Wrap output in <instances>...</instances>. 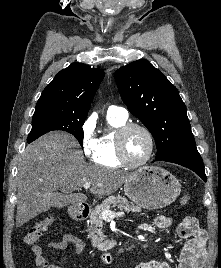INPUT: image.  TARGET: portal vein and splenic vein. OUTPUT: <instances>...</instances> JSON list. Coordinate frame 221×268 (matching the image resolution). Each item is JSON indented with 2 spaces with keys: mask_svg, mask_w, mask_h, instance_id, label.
<instances>
[{
  "mask_svg": "<svg viewBox=\"0 0 221 268\" xmlns=\"http://www.w3.org/2000/svg\"><path fill=\"white\" fill-rule=\"evenodd\" d=\"M90 186H91L90 183H85V184L83 185V187H84L85 189H89ZM124 215H125L124 211L114 212V211H111V210H109V209H105V210L101 213L102 218L105 219V220H112V219H114V218H116V217H122V216H124Z\"/></svg>",
  "mask_w": 221,
  "mask_h": 268,
  "instance_id": "1",
  "label": "portal vein and splenic vein"
}]
</instances>
